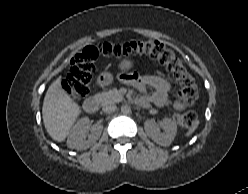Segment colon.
Listing matches in <instances>:
<instances>
[{
  "label": "colon",
  "mask_w": 248,
  "mask_h": 194,
  "mask_svg": "<svg viewBox=\"0 0 248 194\" xmlns=\"http://www.w3.org/2000/svg\"><path fill=\"white\" fill-rule=\"evenodd\" d=\"M99 55L123 57L130 55H149L162 64L179 84V96L188 106H193L198 99V86L191 74L184 67L179 57L163 43L154 40H137L122 44L101 42L96 46H87L73 56L69 73L62 85L71 99L78 101L86 97L95 72V61ZM130 74L124 75L129 79ZM196 114L188 111L176 116L178 125L183 129L193 127Z\"/></svg>",
  "instance_id": "5ec220e1"
}]
</instances>
